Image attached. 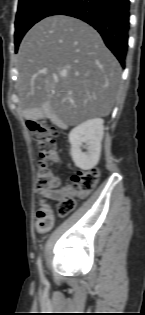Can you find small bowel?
Segmentation results:
<instances>
[{"label":"small bowel","mask_w":145,"mask_h":315,"mask_svg":"<svg viewBox=\"0 0 145 315\" xmlns=\"http://www.w3.org/2000/svg\"><path fill=\"white\" fill-rule=\"evenodd\" d=\"M77 194L71 186H64L60 189H49L42 192L46 199L58 201L65 195ZM79 195V194H78ZM82 196V195H79ZM55 219L47 209H40L37 213L36 231L40 234L48 232L54 225Z\"/></svg>","instance_id":"obj_1"}]
</instances>
